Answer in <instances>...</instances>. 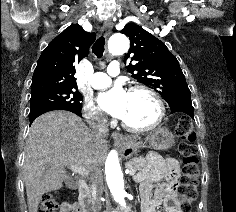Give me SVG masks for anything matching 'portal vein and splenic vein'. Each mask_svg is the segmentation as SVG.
<instances>
[{
    "mask_svg": "<svg viewBox=\"0 0 236 212\" xmlns=\"http://www.w3.org/2000/svg\"><path fill=\"white\" fill-rule=\"evenodd\" d=\"M69 168L72 172H75V173H78L81 175H88L89 174V172L84 167H81V166L71 165ZM128 173L130 175H134L136 173V171L133 169H129Z\"/></svg>",
    "mask_w": 236,
    "mask_h": 212,
    "instance_id": "portal-vein-and-splenic-vein-1",
    "label": "portal vein and splenic vein"
}]
</instances>
